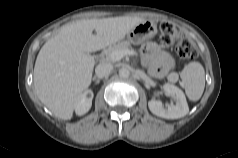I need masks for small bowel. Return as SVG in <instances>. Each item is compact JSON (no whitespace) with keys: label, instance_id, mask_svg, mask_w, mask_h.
<instances>
[{"label":"small bowel","instance_id":"1","mask_svg":"<svg viewBox=\"0 0 238 158\" xmlns=\"http://www.w3.org/2000/svg\"><path fill=\"white\" fill-rule=\"evenodd\" d=\"M142 51L144 62L154 77L163 78L173 71L175 63L172 55L162 50L156 43H146Z\"/></svg>","mask_w":238,"mask_h":158}]
</instances>
